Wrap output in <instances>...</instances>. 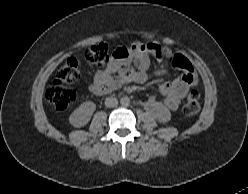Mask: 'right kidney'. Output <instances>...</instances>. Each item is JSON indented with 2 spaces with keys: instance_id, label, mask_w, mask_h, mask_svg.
I'll return each instance as SVG.
<instances>
[{
  "instance_id": "obj_1",
  "label": "right kidney",
  "mask_w": 248,
  "mask_h": 194,
  "mask_svg": "<svg viewBox=\"0 0 248 194\" xmlns=\"http://www.w3.org/2000/svg\"><path fill=\"white\" fill-rule=\"evenodd\" d=\"M95 110V103L86 101L70 114L69 123L76 128L85 126L90 121Z\"/></svg>"
}]
</instances>
